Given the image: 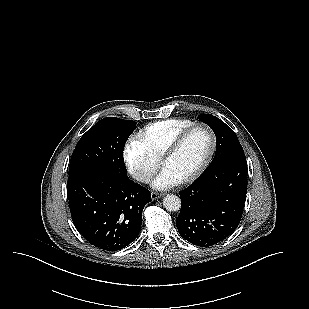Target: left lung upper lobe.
<instances>
[{
	"label": "left lung upper lobe",
	"instance_id": "obj_1",
	"mask_svg": "<svg viewBox=\"0 0 309 309\" xmlns=\"http://www.w3.org/2000/svg\"><path fill=\"white\" fill-rule=\"evenodd\" d=\"M198 119L209 125L216 135V152L210 165L229 156L244 154L236 134L222 120L211 114H200Z\"/></svg>",
	"mask_w": 309,
	"mask_h": 309
}]
</instances>
